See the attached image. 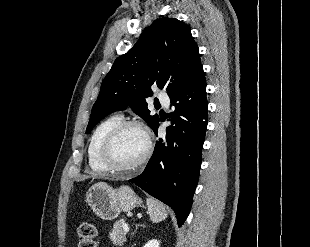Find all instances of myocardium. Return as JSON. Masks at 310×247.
Listing matches in <instances>:
<instances>
[{
  "label": "myocardium",
  "mask_w": 310,
  "mask_h": 247,
  "mask_svg": "<svg viewBox=\"0 0 310 247\" xmlns=\"http://www.w3.org/2000/svg\"><path fill=\"white\" fill-rule=\"evenodd\" d=\"M130 127L138 128L144 133L146 138V148L142 156L134 164L129 166H117L112 162L111 159L112 146L116 138L119 136V134L123 130ZM151 152H152V139L148 128L139 121L122 120L118 124H116L104 138L99 151V159L108 172L113 174H125L134 172L143 167V165L149 159Z\"/></svg>",
  "instance_id": "obj_1"
}]
</instances>
